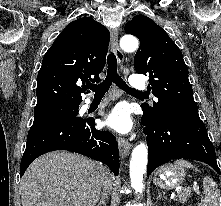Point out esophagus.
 I'll return each mask as SVG.
<instances>
[{"instance_id":"obj_1","label":"esophagus","mask_w":221,"mask_h":206,"mask_svg":"<svg viewBox=\"0 0 221 206\" xmlns=\"http://www.w3.org/2000/svg\"><path fill=\"white\" fill-rule=\"evenodd\" d=\"M111 43H112V48L113 51L117 57L118 64L121 66L124 62V54L119 48L118 44V29L113 28L111 30ZM117 142H118V148H119V153L122 158H125L130 151L131 144L124 138L122 137H117Z\"/></svg>"}]
</instances>
